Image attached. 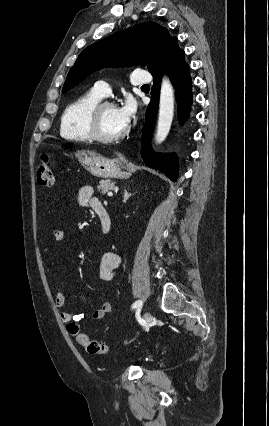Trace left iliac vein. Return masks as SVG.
Here are the masks:
<instances>
[{"instance_id": "obj_1", "label": "left iliac vein", "mask_w": 269, "mask_h": 426, "mask_svg": "<svg viewBox=\"0 0 269 426\" xmlns=\"http://www.w3.org/2000/svg\"><path fill=\"white\" fill-rule=\"evenodd\" d=\"M143 318H144L145 323H150V322H151V319H152L151 314H150V313H148V312H145V313H144Z\"/></svg>"}]
</instances>
